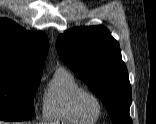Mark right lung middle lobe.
Masks as SVG:
<instances>
[{
	"instance_id": "dd1d6c3e",
	"label": "right lung middle lobe",
	"mask_w": 156,
	"mask_h": 124,
	"mask_svg": "<svg viewBox=\"0 0 156 124\" xmlns=\"http://www.w3.org/2000/svg\"><path fill=\"white\" fill-rule=\"evenodd\" d=\"M40 74L0 69V120L21 121L33 115Z\"/></svg>"
}]
</instances>
